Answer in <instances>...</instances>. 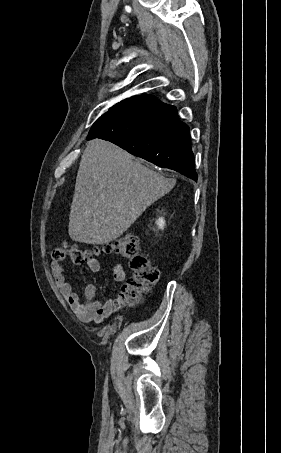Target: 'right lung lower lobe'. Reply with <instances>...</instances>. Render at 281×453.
<instances>
[{
    "label": "right lung lower lobe",
    "instance_id": "1",
    "mask_svg": "<svg viewBox=\"0 0 281 453\" xmlns=\"http://www.w3.org/2000/svg\"><path fill=\"white\" fill-rule=\"evenodd\" d=\"M111 141L159 167L197 180L189 127L174 106L153 95H141L114 105L92 126L87 139Z\"/></svg>",
    "mask_w": 281,
    "mask_h": 453
}]
</instances>
